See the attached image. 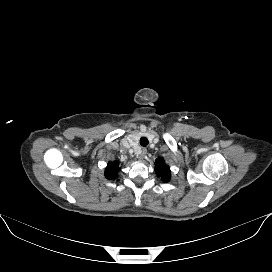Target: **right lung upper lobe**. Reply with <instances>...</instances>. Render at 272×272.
I'll return each mask as SVG.
<instances>
[{
	"instance_id": "1",
	"label": "right lung upper lobe",
	"mask_w": 272,
	"mask_h": 272,
	"mask_svg": "<svg viewBox=\"0 0 272 272\" xmlns=\"http://www.w3.org/2000/svg\"><path fill=\"white\" fill-rule=\"evenodd\" d=\"M118 163L117 162H110L108 163L105 169V177L109 180L115 179L117 177V173L119 171Z\"/></svg>"
}]
</instances>
